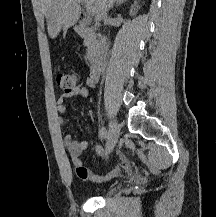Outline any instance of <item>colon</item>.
Listing matches in <instances>:
<instances>
[{
    "label": "colon",
    "instance_id": "colon-1",
    "mask_svg": "<svg viewBox=\"0 0 216 217\" xmlns=\"http://www.w3.org/2000/svg\"><path fill=\"white\" fill-rule=\"evenodd\" d=\"M58 85L66 91L72 90L77 86L78 74L72 71H58L56 74Z\"/></svg>",
    "mask_w": 216,
    "mask_h": 217
}]
</instances>
